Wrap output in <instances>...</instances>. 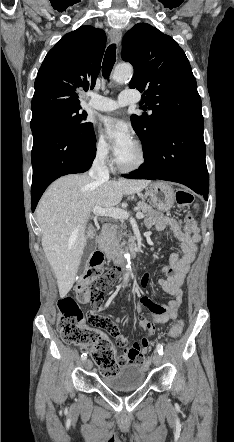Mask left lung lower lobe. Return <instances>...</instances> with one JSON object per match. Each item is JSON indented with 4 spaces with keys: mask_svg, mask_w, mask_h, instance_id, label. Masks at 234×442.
<instances>
[{
    "mask_svg": "<svg viewBox=\"0 0 234 442\" xmlns=\"http://www.w3.org/2000/svg\"><path fill=\"white\" fill-rule=\"evenodd\" d=\"M202 114L179 118L157 135L145 162L131 179H160L178 182L202 193L208 200L209 176L205 161Z\"/></svg>",
    "mask_w": 234,
    "mask_h": 442,
    "instance_id": "obj_1",
    "label": "left lung lower lobe"
}]
</instances>
